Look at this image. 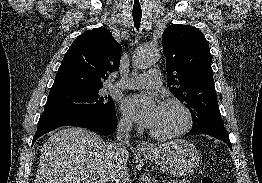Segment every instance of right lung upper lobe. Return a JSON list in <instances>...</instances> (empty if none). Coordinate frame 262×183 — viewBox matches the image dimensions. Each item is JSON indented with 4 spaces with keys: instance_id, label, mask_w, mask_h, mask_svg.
<instances>
[{
    "instance_id": "right-lung-upper-lobe-1",
    "label": "right lung upper lobe",
    "mask_w": 262,
    "mask_h": 183,
    "mask_svg": "<svg viewBox=\"0 0 262 183\" xmlns=\"http://www.w3.org/2000/svg\"><path fill=\"white\" fill-rule=\"evenodd\" d=\"M121 46L110 31L94 28L78 36L66 52L50 92L103 87L119 69Z\"/></svg>"
}]
</instances>
